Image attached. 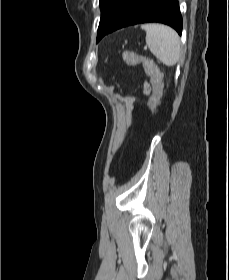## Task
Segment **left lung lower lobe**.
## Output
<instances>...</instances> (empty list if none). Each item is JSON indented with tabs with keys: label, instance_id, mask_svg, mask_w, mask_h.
<instances>
[{
	"label": "left lung lower lobe",
	"instance_id": "obj_1",
	"mask_svg": "<svg viewBox=\"0 0 229 280\" xmlns=\"http://www.w3.org/2000/svg\"><path fill=\"white\" fill-rule=\"evenodd\" d=\"M146 22L167 24L181 35L182 16L178 0H128L120 17L104 35L126 26ZM102 37L97 38V42Z\"/></svg>",
	"mask_w": 229,
	"mask_h": 280
}]
</instances>
